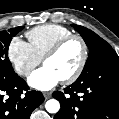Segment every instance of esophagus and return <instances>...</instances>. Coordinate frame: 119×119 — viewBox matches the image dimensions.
<instances>
[{"label": "esophagus", "instance_id": "34e87169", "mask_svg": "<svg viewBox=\"0 0 119 119\" xmlns=\"http://www.w3.org/2000/svg\"><path fill=\"white\" fill-rule=\"evenodd\" d=\"M43 95H44L45 99L47 100L51 97V92H44Z\"/></svg>", "mask_w": 119, "mask_h": 119}]
</instances>
